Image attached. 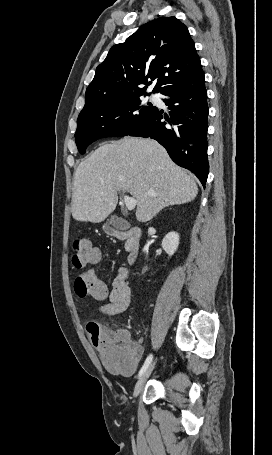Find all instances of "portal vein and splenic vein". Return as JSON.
Wrapping results in <instances>:
<instances>
[{
	"instance_id": "18ae733b",
	"label": "portal vein and splenic vein",
	"mask_w": 272,
	"mask_h": 455,
	"mask_svg": "<svg viewBox=\"0 0 272 455\" xmlns=\"http://www.w3.org/2000/svg\"><path fill=\"white\" fill-rule=\"evenodd\" d=\"M124 202L128 210H133L136 207V199L134 197L124 196Z\"/></svg>"
}]
</instances>
